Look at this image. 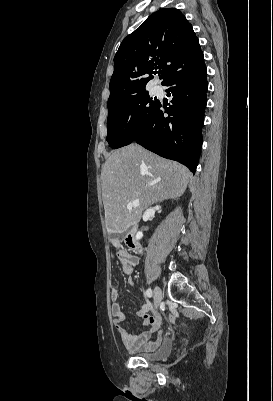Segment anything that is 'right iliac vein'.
<instances>
[{
  "mask_svg": "<svg viewBox=\"0 0 273 401\" xmlns=\"http://www.w3.org/2000/svg\"><path fill=\"white\" fill-rule=\"evenodd\" d=\"M161 299H162V291L158 286H156L154 289V306L155 307H158L160 305Z\"/></svg>",
  "mask_w": 273,
  "mask_h": 401,
  "instance_id": "63e3f726",
  "label": "right iliac vein"
}]
</instances>
